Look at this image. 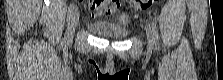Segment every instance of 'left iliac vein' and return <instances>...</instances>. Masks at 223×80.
Here are the masks:
<instances>
[{
	"mask_svg": "<svg viewBox=\"0 0 223 80\" xmlns=\"http://www.w3.org/2000/svg\"><path fill=\"white\" fill-rule=\"evenodd\" d=\"M146 35H147V40H148L149 47L152 48L154 43H155V36H154L153 31L150 29V27H147Z\"/></svg>",
	"mask_w": 223,
	"mask_h": 80,
	"instance_id": "1",
	"label": "left iliac vein"
}]
</instances>
